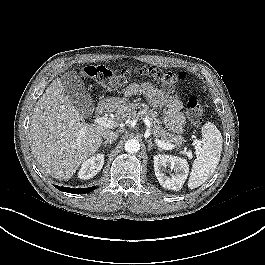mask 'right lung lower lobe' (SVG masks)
<instances>
[{"label": "right lung lower lobe", "instance_id": "98d812e1", "mask_svg": "<svg viewBox=\"0 0 265 265\" xmlns=\"http://www.w3.org/2000/svg\"><path fill=\"white\" fill-rule=\"evenodd\" d=\"M55 187L60 190V191H64L67 193H73V194H86L89 193L91 191H93L96 187H89V188H67V187H63V186H56Z\"/></svg>", "mask_w": 265, "mask_h": 265}]
</instances>
